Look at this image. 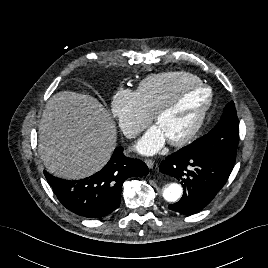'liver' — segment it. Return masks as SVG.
<instances>
[{
    "mask_svg": "<svg viewBox=\"0 0 268 268\" xmlns=\"http://www.w3.org/2000/svg\"><path fill=\"white\" fill-rule=\"evenodd\" d=\"M38 139L47 171L76 180L96 173L109 161L117 131L109 111L96 98L61 91L46 104Z\"/></svg>",
    "mask_w": 268,
    "mask_h": 268,
    "instance_id": "obj_1",
    "label": "liver"
}]
</instances>
